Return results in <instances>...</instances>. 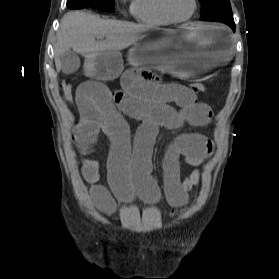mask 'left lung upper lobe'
Wrapping results in <instances>:
<instances>
[{"label":"left lung upper lobe","instance_id":"left-lung-upper-lobe-1","mask_svg":"<svg viewBox=\"0 0 279 279\" xmlns=\"http://www.w3.org/2000/svg\"><path fill=\"white\" fill-rule=\"evenodd\" d=\"M202 6L200 20L218 21L233 19L230 0H199Z\"/></svg>","mask_w":279,"mask_h":279}]
</instances>
